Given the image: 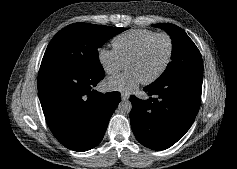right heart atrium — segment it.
Returning a JSON list of instances; mask_svg holds the SVG:
<instances>
[{
	"label": "right heart atrium",
	"mask_w": 237,
	"mask_h": 169,
	"mask_svg": "<svg viewBox=\"0 0 237 169\" xmlns=\"http://www.w3.org/2000/svg\"><path fill=\"white\" fill-rule=\"evenodd\" d=\"M98 62L104 71L114 75L124 68L125 62L120 58L114 49L101 47L97 51Z\"/></svg>",
	"instance_id": "right-heart-atrium-1"
}]
</instances>
